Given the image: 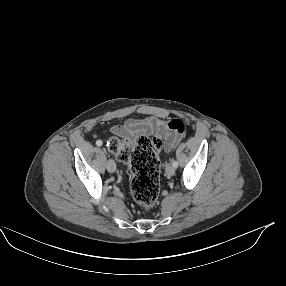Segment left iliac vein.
<instances>
[{
  "label": "left iliac vein",
  "mask_w": 286,
  "mask_h": 286,
  "mask_svg": "<svg viewBox=\"0 0 286 286\" xmlns=\"http://www.w3.org/2000/svg\"><path fill=\"white\" fill-rule=\"evenodd\" d=\"M165 172L167 175L172 176L175 173V168L171 164H166L165 166Z\"/></svg>",
  "instance_id": "4c4485c4"
}]
</instances>
